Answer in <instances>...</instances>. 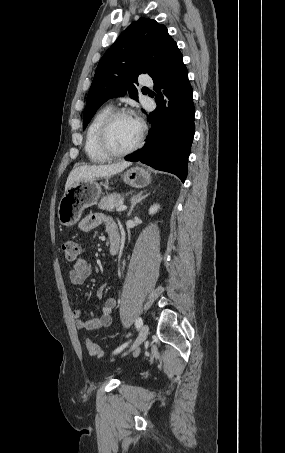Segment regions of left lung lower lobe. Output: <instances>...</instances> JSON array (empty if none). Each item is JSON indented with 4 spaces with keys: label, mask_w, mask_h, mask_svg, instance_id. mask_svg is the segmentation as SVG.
Segmentation results:
<instances>
[{
    "label": "left lung lower lobe",
    "mask_w": 285,
    "mask_h": 453,
    "mask_svg": "<svg viewBox=\"0 0 285 453\" xmlns=\"http://www.w3.org/2000/svg\"><path fill=\"white\" fill-rule=\"evenodd\" d=\"M152 79L157 108L148 115L151 130L144 147L125 160L173 173L184 182L194 137L195 109L188 71L177 45Z\"/></svg>",
    "instance_id": "1"
}]
</instances>
